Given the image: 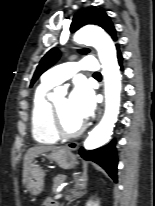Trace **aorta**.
<instances>
[{"label":"aorta","mask_w":155,"mask_h":206,"mask_svg":"<svg viewBox=\"0 0 155 206\" xmlns=\"http://www.w3.org/2000/svg\"><path fill=\"white\" fill-rule=\"evenodd\" d=\"M74 41L78 44L93 46L98 51L103 68L106 104L104 116L84 142L85 149L92 150L104 145L111 138L119 114L121 74L114 43L102 29L81 28L74 35Z\"/></svg>","instance_id":"aorta-1"}]
</instances>
